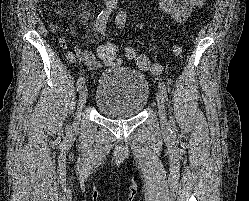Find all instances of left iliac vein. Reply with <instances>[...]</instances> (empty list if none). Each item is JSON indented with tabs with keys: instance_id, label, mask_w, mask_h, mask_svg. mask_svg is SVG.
<instances>
[{
	"instance_id": "left-iliac-vein-1",
	"label": "left iliac vein",
	"mask_w": 249,
	"mask_h": 201,
	"mask_svg": "<svg viewBox=\"0 0 249 201\" xmlns=\"http://www.w3.org/2000/svg\"><path fill=\"white\" fill-rule=\"evenodd\" d=\"M156 100H157L161 125L164 129H167L168 123H167V119H166V106H165L164 96L161 92L157 93Z\"/></svg>"
}]
</instances>
